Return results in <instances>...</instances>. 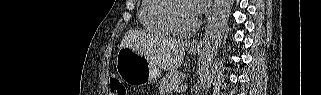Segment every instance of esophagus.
<instances>
[{
    "instance_id": "esophagus-1",
    "label": "esophagus",
    "mask_w": 321,
    "mask_h": 95,
    "mask_svg": "<svg viewBox=\"0 0 321 95\" xmlns=\"http://www.w3.org/2000/svg\"><path fill=\"white\" fill-rule=\"evenodd\" d=\"M200 45H201V40L196 39L191 42L190 47H200Z\"/></svg>"
}]
</instances>
